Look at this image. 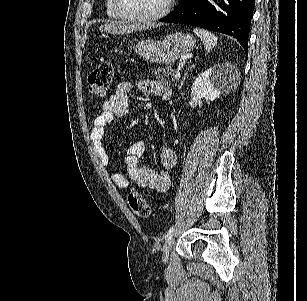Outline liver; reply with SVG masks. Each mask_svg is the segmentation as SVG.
Wrapping results in <instances>:
<instances>
[{
	"mask_svg": "<svg viewBox=\"0 0 307 301\" xmlns=\"http://www.w3.org/2000/svg\"><path fill=\"white\" fill-rule=\"evenodd\" d=\"M158 24H127L121 20H110L99 26L101 32H110V34H127V32H136V30H147V28H156Z\"/></svg>",
	"mask_w": 307,
	"mask_h": 301,
	"instance_id": "1",
	"label": "liver"
}]
</instances>
